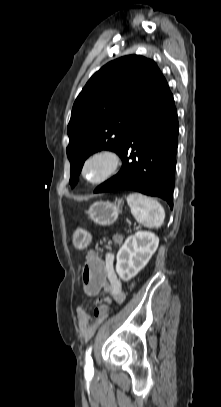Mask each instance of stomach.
I'll return each instance as SVG.
<instances>
[{
  "mask_svg": "<svg viewBox=\"0 0 221 407\" xmlns=\"http://www.w3.org/2000/svg\"><path fill=\"white\" fill-rule=\"evenodd\" d=\"M122 203V199H116L115 202L98 201L90 206L87 214L96 224L111 225L118 219ZM90 241L91 235L82 228H78L73 234V243L76 248H85Z\"/></svg>",
  "mask_w": 221,
  "mask_h": 407,
  "instance_id": "obj_1",
  "label": "stomach"
}]
</instances>
